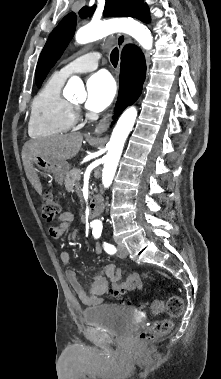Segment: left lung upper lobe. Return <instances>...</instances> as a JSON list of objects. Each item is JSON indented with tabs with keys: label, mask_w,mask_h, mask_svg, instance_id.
Wrapping results in <instances>:
<instances>
[{
	"label": "left lung upper lobe",
	"mask_w": 221,
	"mask_h": 379,
	"mask_svg": "<svg viewBox=\"0 0 221 379\" xmlns=\"http://www.w3.org/2000/svg\"><path fill=\"white\" fill-rule=\"evenodd\" d=\"M95 10V5L87 8L83 7L79 11L81 18L91 16ZM148 10L143 0H107L104 10L105 16H130L141 19L143 14ZM77 16L75 13H69L54 28L48 37V40L40 54L36 67L35 80L38 87L41 86L46 75L61 57L64 49L74 35L76 29Z\"/></svg>",
	"instance_id": "left-lung-upper-lobe-1"
}]
</instances>
